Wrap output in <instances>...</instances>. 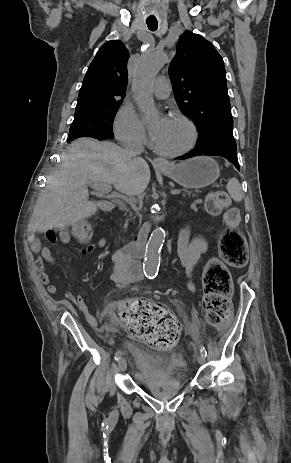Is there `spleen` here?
<instances>
[{"label": "spleen", "mask_w": 291, "mask_h": 463, "mask_svg": "<svg viewBox=\"0 0 291 463\" xmlns=\"http://www.w3.org/2000/svg\"><path fill=\"white\" fill-rule=\"evenodd\" d=\"M227 191L234 201L240 202L243 199V191L239 181L236 178H232L228 181Z\"/></svg>", "instance_id": "obj_1"}]
</instances>
